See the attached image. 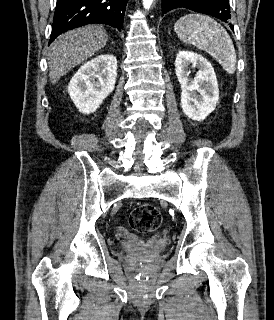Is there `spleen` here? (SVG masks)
Returning a JSON list of instances; mask_svg holds the SVG:
<instances>
[{
	"mask_svg": "<svg viewBox=\"0 0 274 320\" xmlns=\"http://www.w3.org/2000/svg\"><path fill=\"white\" fill-rule=\"evenodd\" d=\"M175 32L186 44L204 50L221 64L228 74H235L236 52L225 28L213 18L201 14H188L177 20Z\"/></svg>",
	"mask_w": 274,
	"mask_h": 320,
	"instance_id": "1",
	"label": "spleen"
}]
</instances>
